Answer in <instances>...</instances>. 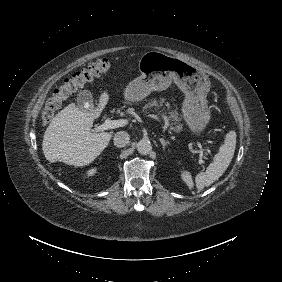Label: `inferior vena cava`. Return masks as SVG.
I'll return each instance as SVG.
<instances>
[{"label":"inferior vena cava","instance_id":"inferior-vena-cava-1","mask_svg":"<svg viewBox=\"0 0 282 282\" xmlns=\"http://www.w3.org/2000/svg\"><path fill=\"white\" fill-rule=\"evenodd\" d=\"M129 142V134L125 131H119L114 136V145L117 147H124Z\"/></svg>","mask_w":282,"mask_h":282}]
</instances>
